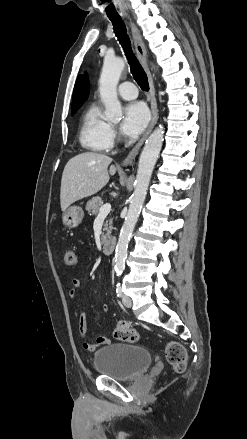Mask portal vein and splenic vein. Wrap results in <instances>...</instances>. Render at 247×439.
Listing matches in <instances>:
<instances>
[{"mask_svg":"<svg viewBox=\"0 0 247 439\" xmlns=\"http://www.w3.org/2000/svg\"><path fill=\"white\" fill-rule=\"evenodd\" d=\"M111 211V205L106 203L100 207L98 217L105 216Z\"/></svg>","mask_w":247,"mask_h":439,"instance_id":"obj_1","label":"portal vein and splenic vein"}]
</instances>
